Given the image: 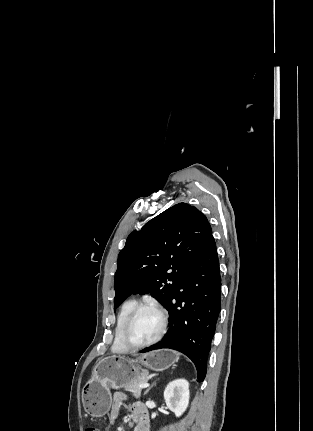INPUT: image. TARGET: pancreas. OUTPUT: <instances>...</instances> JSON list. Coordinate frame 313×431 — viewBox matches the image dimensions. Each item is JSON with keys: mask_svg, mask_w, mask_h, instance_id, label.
Here are the masks:
<instances>
[{"mask_svg": "<svg viewBox=\"0 0 313 431\" xmlns=\"http://www.w3.org/2000/svg\"><path fill=\"white\" fill-rule=\"evenodd\" d=\"M146 376H147V374H146ZM146 376L145 377L138 376L135 380H133V381H131L129 383L124 384L123 388L125 390H127V391L132 392L134 394V396L140 397L141 396L142 388H139L138 385L140 383H143V382L146 381Z\"/></svg>", "mask_w": 313, "mask_h": 431, "instance_id": "pancreas-1", "label": "pancreas"}]
</instances>
